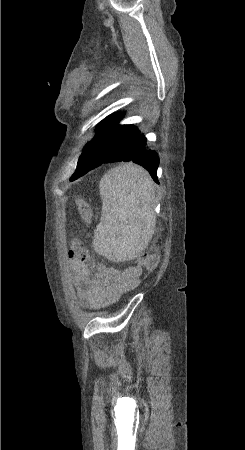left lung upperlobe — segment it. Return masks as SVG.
<instances>
[{"label": "left lung upper lobe", "mask_w": 245, "mask_h": 450, "mask_svg": "<svg viewBox=\"0 0 245 450\" xmlns=\"http://www.w3.org/2000/svg\"><path fill=\"white\" fill-rule=\"evenodd\" d=\"M122 115V113L111 114L99 123L98 126H101V128L97 131L96 136L89 146H99V148L108 147L109 149L119 148L134 139L139 134V131L133 125H119L118 121L121 120ZM101 156L102 154L96 157L94 155L89 160L84 156V153H82L73 176L97 165Z\"/></svg>", "instance_id": "left-lung-upper-lobe-1"}]
</instances>
